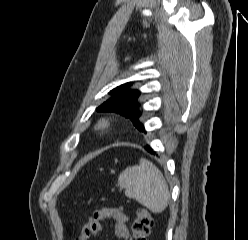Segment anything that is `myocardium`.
<instances>
[{
    "label": "myocardium",
    "mask_w": 248,
    "mask_h": 240,
    "mask_svg": "<svg viewBox=\"0 0 248 240\" xmlns=\"http://www.w3.org/2000/svg\"><path fill=\"white\" fill-rule=\"evenodd\" d=\"M112 125V120L107 117L100 118L96 123V128L99 131H105Z\"/></svg>",
    "instance_id": "1"
}]
</instances>
